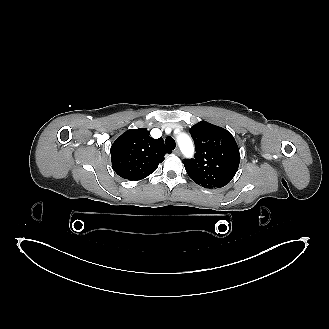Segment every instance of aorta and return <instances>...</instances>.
<instances>
[{
	"label": "aorta",
	"instance_id": "aorta-1",
	"mask_svg": "<svg viewBox=\"0 0 329 329\" xmlns=\"http://www.w3.org/2000/svg\"><path fill=\"white\" fill-rule=\"evenodd\" d=\"M177 142L185 156H190L194 153V144L192 139L186 133H179L177 136Z\"/></svg>",
	"mask_w": 329,
	"mask_h": 329
}]
</instances>
